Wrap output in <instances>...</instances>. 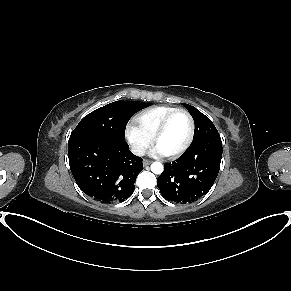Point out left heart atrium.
I'll use <instances>...</instances> for the list:
<instances>
[{"label": "left heart atrium", "instance_id": "1", "mask_svg": "<svg viewBox=\"0 0 291 291\" xmlns=\"http://www.w3.org/2000/svg\"><path fill=\"white\" fill-rule=\"evenodd\" d=\"M155 151L160 154V155H163V153L156 147Z\"/></svg>", "mask_w": 291, "mask_h": 291}]
</instances>
